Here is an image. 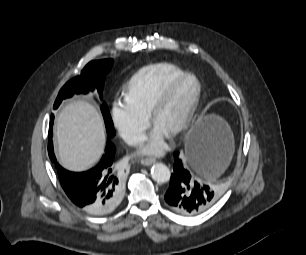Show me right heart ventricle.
<instances>
[{
	"mask_svg": "<svg viewBox=\"0 0 306 255\" xmlns=\"http://www.w3.org/2000/svg\"><path fill=\"white\" fill-rule=\"evenodd\" d=\"M186 72L171 63H156L139 69L127 82L125 100L139 113L147 115L157 97Z\"/></svg>",
	"mask_w": 306,
	"mask_h": 255,
	"instance_id": "1",
	"label": "right heart ventricle"
}]
</instances>
